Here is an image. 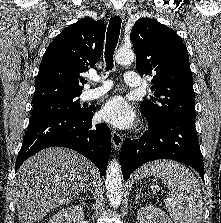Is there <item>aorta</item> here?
<instances>
[{"mask_svg":"<svg viewBox=\"0 0 221 223\" xmlns=\"http://www.w3.org/2000/svg\"><path fill=\"white\" fill-rule=\"evenodd\" d=\"M134 59L135 54L132 50L119 49L115 54L116 62L121 65L131 64ZM105 183L109 203L113 208H117L120 206L123 197V184L121 167L115 159L108 164Z\"/></svg>","mask_w":221,"mask_h":223,"instance_id":"1","label":"aorta"}]
</instances>
